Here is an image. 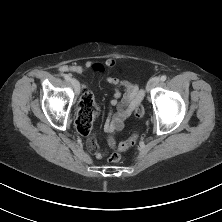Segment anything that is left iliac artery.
Segmentation results:
<instances>
[{"mask_svg": "<svg viewBox=\"0 0 222 222\" xmlns=\"http://www.w3.org/2000/svg\"><path fill=\"white\" fill-rule=\"evenodd\" d=\"M167 79V76L166 75H162L161 76V78H160V80L163 82V81H165Z\"/></svg>", "mask_w": 222, "mask_h": 222, "instance_id": "left-iliac-artery-1", "label": "left iliac artery"}]
</instances>
